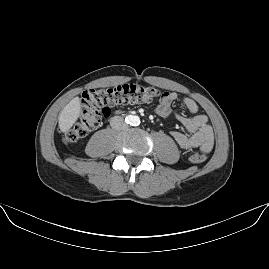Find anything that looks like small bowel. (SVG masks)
I'll return each instance as SVG.
<instances>
[{"label": "small bowel", "mask_w": 269, "mask_h": 269, "mask_svg": "<svg viewBox=\"0 0 269 269\" xmlns=\"http://www.w3.org/2000/svg\"><path fill=\"white\" fill-rule=\"evenodd\" d=\"M178 100V94L174 91L166 92L158 106L156 107L157 115L161 117L174 114L181 125L187 130L188 134L172 131L171 136L182 149H199L201 152H209L214 144L215 135L208 118L205 115L197 114L198 106L194 100L183 98L184 108L193 114L187 117L179 111L172 110V104Z\"/></svg>", "instance_id": "c3829d8e"}]
</instances>
